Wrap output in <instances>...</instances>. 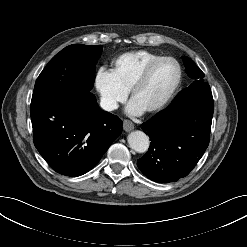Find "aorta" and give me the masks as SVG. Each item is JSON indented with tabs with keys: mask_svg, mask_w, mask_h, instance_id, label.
Instances as JSON below:
<instances>
[{
	"mask_svg": "<svg viewBox=\"0 0 247 247\" xmlns=\"http://www.w3.org/2000/svg\"><path fill=\"white\" fill-rule=\"evenodd\" d=\"M131 149L138 153H144L149 148V137L142 131H133L127 137Z\"/></svg>",
	"mask_w": 247,
	"mask_h": 247,
	"instance_id": "762f6f07",
	"label": "aorta"
}]
</instances>
